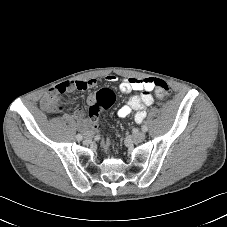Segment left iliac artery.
I'll return each mask as SVG.
<instances>
[{
    "label": "left iliac artery",
    "instance_id": "obj_1",
    "mask_svg": "<svg viewBox=\"0 0 227 227\" xmlns=\"http://www.w3.org/2000/svg\"><path fill=\"white\" fill-rule=\"evenodd\" d=\"M147 130H148L147 125H143V126H142V131H143V132H146Z\"/></svg>",
    "mask_w": 227,
    "mask_h": 227
}]
</instances>
